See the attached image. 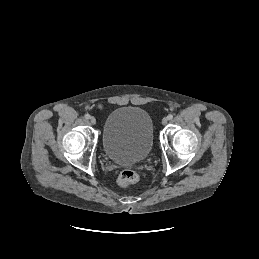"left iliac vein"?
Masks as SVG:
<instances>
[{
  "mask_svg": "<svg viewBox=\"0 0 259 259\" xmlns=\"http://www.w3.org/2000/svg\"><path fill=\"white\" fill-rule=\"evenodd\" d=\"M167 123H168V118H166V117L163 118V119H162V124H163V125H166Z\"/></svg>",
  "mask_w": 259,
  "mask_h": 259,
  "instance_id": "obj_1",
  "label": "left iliac vein"
}]
</instances>
